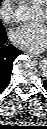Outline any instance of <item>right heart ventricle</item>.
I'll return each instance as SVG.
<instances>
[{
    "label": "right heart ventricle",
    "instance_id": "e07e8e85",
    "mask_svg": "<svg viewBox=\"0 0 47 129\" xmlns=\"http://www.w3.org/2000/svg\"><path fill=\"white\" fill-rule=\"evenodd\" d=\"M40 2L44 3L46 0H39Z\"/></svg>",
    "mask_w": 47,
    "mask_h": 129
}]
</instances>
